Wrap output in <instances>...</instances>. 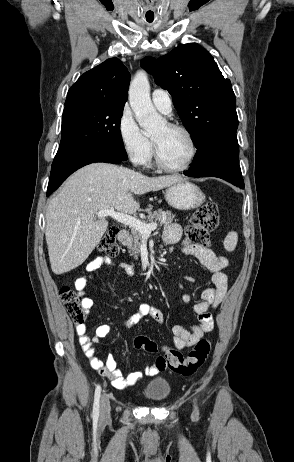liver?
<instances>
[{
    "label": "liver",
    "mask_w": 294,
    "mask_h": 462,
    "mask_svg": "<svg viewBox=\"0 0 294 462\" xmlns=\"http://www.w3.org/2000/svg\"><path fill=\"white\" fill-rule=\"evenodd\" d=\"M183 177H148L125 167L92 163L71 175L50 201L45 237L51 269L56 275L80 266L100 242L108 221L96 218L101 210L134 214L142 195L169 187Z\"/></svg>",
    "instance_id": "liver-1"
}]
</instances>
